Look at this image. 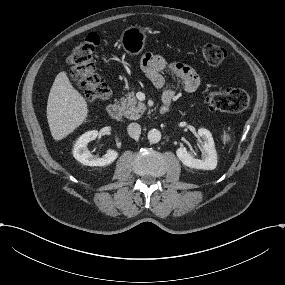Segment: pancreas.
<instances>
[{
	"label": "pancreas",
	"mask_w": 285,
	"mask_h": 285,
	"mask_svg": "<svg viewBox=\"0 0 285 285\" xmlns=\"http://www.w3.org/2000/svg\"><path fill=\"white\" fill-rule=\"evenodd\" d=\"M120 100L126 102V106L123 110V113L125 117L130 120L139 119L146 110V106L142 102L137 101L134 90L128 93L126 98L123 97Z\"/></svg>",
	"instance_id": "obj_1"
}]
</instances>
